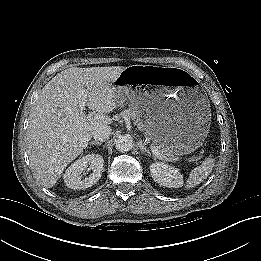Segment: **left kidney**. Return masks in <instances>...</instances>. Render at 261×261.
Masks as SVG:
<instances>
[{
	"label": "left kidney",
	"instance_id": "left-kidney-1",
	"mask_svg": "<svg viewBox=\"0 0 261 261\" xmlns=\"http://www.w3.org/2000/svg\"><path fill=\"white\" fill-rule=\"evenodd\" d=\"M150 173L153 180L162 186L179 188L183 185V176L174 166L163 162L153 163L150 166Z\"/></svg>",
	"mask_w": 261,
	"mask_h": 261
}]
</instances>
